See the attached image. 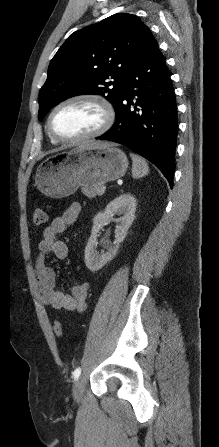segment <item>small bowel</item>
Here are the masks:
<instances>
[{
	"instance_id": "c3829d8e",
	"label": "small bowel",
	"mask_w": 219,
	"mask_h": 447,
	"mask_svg": "<svg viewBox=\"0 0 219 447\" xmlns=\"http://www.w3.org/2000/svg\"><path fill=\"white\" fill-rule=\"evenodd\" d=\"M81 205L71 203L51 224L43 230L42 239L38 245V255L35 260V280L44 304L56 310H67L84 313L87 309V298L90 289L88 281L74 284L71 293L67 294L56 288V273L46 264L48 254H54L58 259L68 257V246L57 238V234L65 232L77 220Z\"/></svg>"
}]
</instances>
